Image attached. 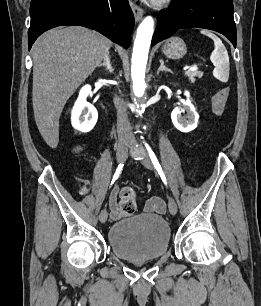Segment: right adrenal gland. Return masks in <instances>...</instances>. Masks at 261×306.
<instances>
[{
	"instance_id": "obj_1",
	"label": "right adrenal gland",
	"mask_w": 261,
	"mask_h": 306,
	"mask_svg": "<svg viewBox=\"0 0 261 306\" xmlns=\"http://www.w3.org/2000/svg\"><path fill=\"white\" fill-rule=\"evenodd\" d=\"M98 67H104L108 73H113V67L110 61V55H108L102 64H100Z\"/></svg>"
}]
</instances>
